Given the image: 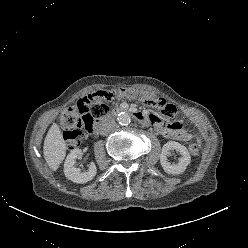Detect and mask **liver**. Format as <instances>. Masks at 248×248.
Returning <instances> with one entry per match:
<instances>
[{"label":"liver","instance_id":"6515ba94","mask_svg":"<svg viewBox=\"0 0 248 248\" xmlns=\"http://www.w3.org/2000/svg\"><path fill=\"white\" fill-rule=\"evenodd\" d=\"M44 158L52 171H56L66 156V143L57 125L47 132L43 145Z\"/></svg>","mask_w":248,"mask_h":248}]
</instances>
